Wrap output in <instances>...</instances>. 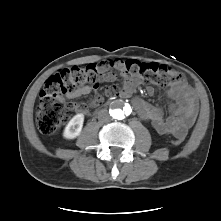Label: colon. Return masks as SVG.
I'll return each instance as SVG.
<instances>
[{"mask_svg": "<svg viewBox=\"0 0 221 221\" xmlns=\"http://www.w3.org/2000/svg\"><path fill=\"white\" fill-rule=\"evenodd\" d=\"M126 70L132 76L140 77L146 83L167 87L183 78V74L174 69L155 63L128 60ZM99 79L98 67L95 64L75 66L62 69L52 74L46 80L40 92L39 103L36 108V125L43 134H52L67 120L68 111L63 105L64 97L78 87L92 85ZM117 87L108 88V94H116ZM182 137L175 136L172 143L179 145Z\"/></svg>", "mask_w": 221, "mask_h": 221, "instance_id": "5ec220e1", "label": "colon"}]
</instances>
